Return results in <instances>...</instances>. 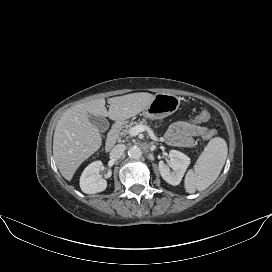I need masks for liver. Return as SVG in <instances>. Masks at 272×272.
<instances>
[{
  "label": "liver",
  "mask_w": 272,
  "mask_h": 272,
  "mask_svg": "<svg viewBox=\"0 0 272 272\" xmlns=\"http://www.w3.org/2000/svg\"><path fill=\"white\" fill-rule=\"evenodd\" d=\"M153 99V94L138 92L109 98L108 111L103 98L69 108L57 122L53 137V155L62 176L70 181L78 167L102 145V136L88 114L124 121L144 111Z\"/></svg>",
  "instance_id": "obj_1"
}]
</instances>
